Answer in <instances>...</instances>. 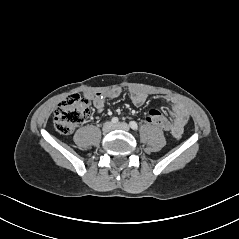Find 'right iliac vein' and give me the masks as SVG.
<instances>
[{
    "mask_svg": "<svg viewBox=\"0 0 239 239\" xmlns=\"http://www.w3.org/2000/svg\"><path fill=\"white\" fill-rule=\"evenodd\" d=\"M113 124L111 122H106L104 125H103V132L104 133H108L110 132L112 129H113Z\"/></svg>",
    "mask_w": 239,
    "mask_h": 239,
    "instance_id": "obj_1",
    "label": "right iliac vein"
}]
</instances>
